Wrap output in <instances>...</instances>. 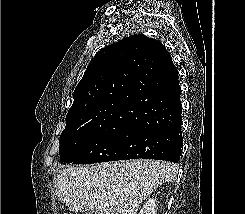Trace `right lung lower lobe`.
I'll return each mask as SVG.
<instances>
[{
    "mask_svg": "<svg viewBox=\"0 0 245 214\" xmlns=\"http://www.w3.org/2000/svg\"><path fill=\"white\" fill-rule=\"evenodd\" d=\"M180 94L178 71L171 60L167 64L166 82L161 92L139 101L141 111L129 124L117 160L179 161L183 146Z\"/></svg>",
    "mask_w": 245,
    "mask_h": 214,
    "instance_id": "98d812e1",
    "label": "right lung lower lobe"
}]
</instances>
